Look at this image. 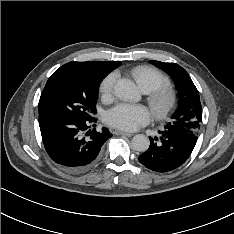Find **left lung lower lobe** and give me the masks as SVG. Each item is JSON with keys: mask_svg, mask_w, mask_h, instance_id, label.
Segmentation results:
<instances>
[{"mask_svg": "<svg viewBox=\"0 0 234 234\" xmlns=\"http://www.w3.org/2000/svg\"><path fill=\"white\" fill-rule=\"evenodd\" d=\"M158 138L150 137L149 149L139 156V161L148 169L156 172H168L178 168L190 156L196 141L190 139L186 134L165 129L159 131Z\"/></svg>", "mask_w": 234, "mask_h": 234, "instance_id": "1", "label": "left lung lower lobe"}]
</instances>
